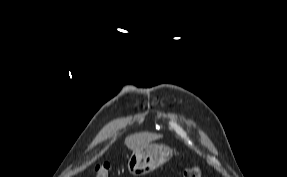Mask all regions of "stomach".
Wrapping results in <instances>:
<instances>
[{
    "label": "stomach",
    "instance_id": "1",
    "mask_svg": "<svg viewBox=\"0 0 287 177\" xmlns=\"http://www.w3.org/2000/svg\"><path fill=\"white\" fill-rule=\"evenodd\" d=\"M172 153L168 146L149 143L133 150L128 160V170L135 176L148 174L169 161Z\"/></svg>",
    "mask_w": 287,
    "mask_h": 177
}]
</instances>
